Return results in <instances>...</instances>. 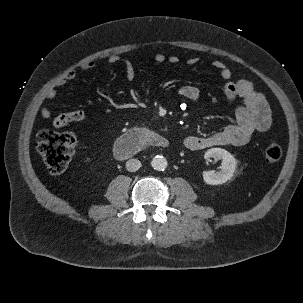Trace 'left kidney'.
<instances>
[{
    "label": "left kidney",
    "mask_w": 303,
    "mask_h": 303,
    "mask_svg": "<svg viewBox=\"0 0 303 303\" xmlns=\"http://www.w3.org/2000/svg\"><path fill=\"white\" fill-rule=\"evenodd\" d=\"M204 158L209 161L211 158L222 160V168L220 171H205L203 179L207 184L219 185L230 180L235 172L237 161L234 156L227 150L222 148H211L205 152Z\"/></svg>",
    "instance_id": "5707ae66"
}]
</instances>
